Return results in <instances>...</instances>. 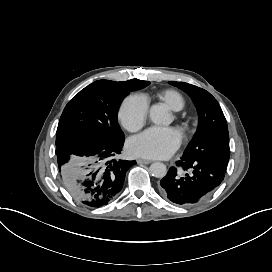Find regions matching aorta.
Listing matches in <instances>:
<instances>
[{
    "label": "aorta",
    "mask_w": 272,
    "mask_h": 272,
    "mask_svg": "<svg viewBox=\"0 0 272 272\" xmlns=\"http://www.w3.org/2000/svg\"><path fill=\"white\" fill-rule=\"evenodd\" d=\"M150 119L156 124H162L167 119V109L165 105L152 104L149 109ZM150 173L156 178H164L167 174L166 165L160 162L150 165Z\"/></svg>",
    "instance_id": "obj_1"
}]
</instances>
